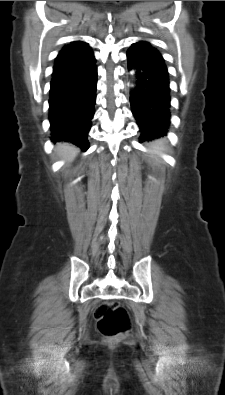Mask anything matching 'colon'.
I'll use <instances>...</instances> for the list:
<instances>
[{
	"label": "colon",
	"mask_w": 225,
	"mask_h": 395,
	"mask_svg": "<svg viewBox=\"0 0 225 395\" xmlns=\"http://www.w3.org/2000/svg\"><path fill=\"white\" fill-rule=\"evenodd\" d=\"M94 316L99 332L106 342H116L128 336L132 322L128 310L117 302H108L96 308Z\"/></svg>",
	"instance_id": "obj_1"
}]
</instances>
